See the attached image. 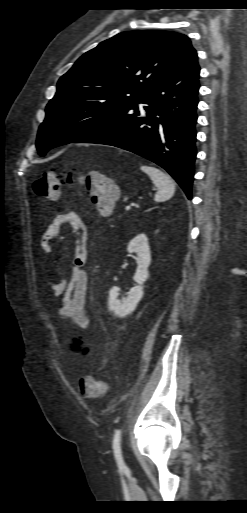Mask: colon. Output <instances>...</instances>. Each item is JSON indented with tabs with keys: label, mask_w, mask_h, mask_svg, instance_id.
<instances>
[{
	"label": "colon",
	"mask_w": 247,
	"mask_h": 513,
	"mask_svg": "<svg viewBox=\"0 0 247 513\" xmlns=\"http://www.w3.org/2000/svg\"><path fill=\"white\" fill-rule=\"evenodd\" d=\"M77 179H80L87 186L86 192L96 205L99 213L102 215L109 214L118 199V193L108 178L101 172H92L84 178H78L75 171H67L62 174L45 171L34 181L33 192L38 197L56 200L60 196L62 188L65 185L72 184ZM79 388L82 394L88 398H100L108 391L105 382L91 376L80 378Z\"/></svg>",
	"instance_id": "1"
}]
</instances>
